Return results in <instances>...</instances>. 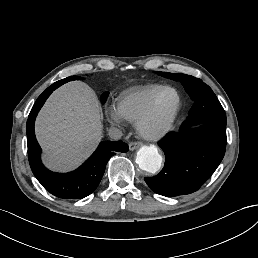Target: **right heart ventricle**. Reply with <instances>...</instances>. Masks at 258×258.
I'll return each instance as SVG.
<instances>
[{"label": "right heart ventricle", "mask_w": 258, "mask_h": 258, "mask_svg": "<svg viewBox=\"0 0 258 258\" xmlns=\"http://www.w3.org/2000/svg\"><path fill=\"white\" fill-rule=\"evenodd\" d=\"M160 88V85L149 84L122 92L117 97L116 101L117 108L124 119L135 122L138 116L144 111L153 95Z\"/></svg>", "instance_id": "right-heart-ventricle-1"}]
</instances>
